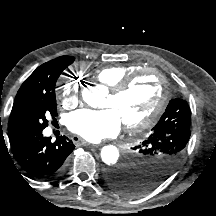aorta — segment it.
Segmentation results:
<instances>
[{"label": "aorta", "instance_id": "1", "mask_svg": "<svg viewBox=\"0 0 216 216\" xmlns=\"http://www.w3.org/2000/svg\"><path fill=\"white\" fill-rule=\"evenodd\" d=\"M106 91L102 87H91L82 91L83 100L91 107H99ZM101 159L107 165H114L119 159V150L113 145L104 146L101 150Z\"/></svg>", "mask_w": 216, "mask_h": 216}]
</instances>
